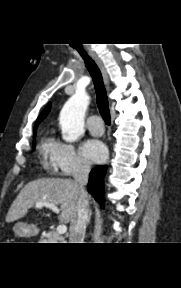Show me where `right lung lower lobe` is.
Segmentation results:
<instances>
[{"mask_svg": "<svg viewBox=\"0 0 181 288\" xmlns=\"http://www.w3.org/2000/svg\"><path fill=\"white\" fill-rule=\"evenodd\" d=\"M107 166H97L92 169L89 175L88 191L95 200L104 207V184L103 179Z\"/></svg>", "mask_w": 181, "mask_h": 288, "instance_id": "obj_1", "label": "right lung lower lobe"}]
</instances>
